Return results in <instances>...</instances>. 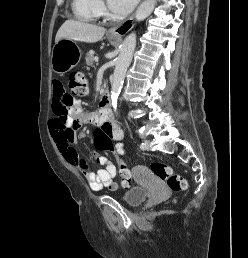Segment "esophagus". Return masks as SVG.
Returning <instances> with one entry per match:
<instances>
[{
    "mask_svg": "<svg viewBox=\"0 0 248 258\" xmlns=\"http://www.w3.org/2000/svg\"><path fill=\"white\" fill-rule=\"evenodd\" d=\"M134 25V14H132L125 22L122 24L112 27L109 30L110 35L123 36L125 35Z\"/></svg>",
    "mask_w": 248,
    "mask_h": 258,
    "instance_id": "1",
    "label": "esophagus"
}]
</instances>
